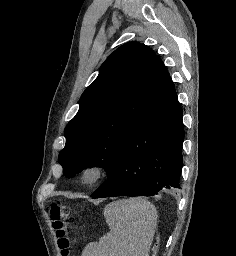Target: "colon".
Segmentation results:
<instances>
[{
    "mask_svg": "<svg viewBox=\"0 0 236 256\" xmlns=\"http://www.w3.org/2000/svg\"><path fill=\"white\" fill-rule=\"evenodd\" d=\"M72 211L61 201L53 202L48 208V216L54 229L61 256H69L72 241L66 233V222Z\"/></svg>",
    "mask_w": 236,
    "mask_h": 256,
    "instance_id": "5ec220e1",
    "label": "colon"
}]
</instances>
